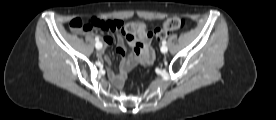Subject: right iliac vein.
Instances as JSON below:
<instances>
[{
	"mask_svg": "<svg viewBox=\"0 0 276 120\" xmlns=\"http://www.w3.org/2000/svg\"><path fill=\"white\" fill-rule=\"evenodd\" d=\"M100 44H101V42H97V43H96L95 46H96V49H97V50H100V49H101V48H98V45H100Z\"/></svg>",
	"mask_w": 276,
	"mask_h": 120,
	"instance_id": "obj_1",
	"label": "right iliac vein"
}]
</instances>
